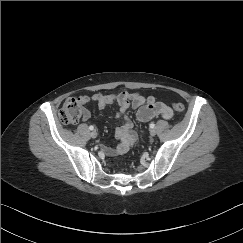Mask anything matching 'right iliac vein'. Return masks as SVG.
Listing matches in <instances>:
<instances>
[{
  "mask_svg": "<svg viewBox=\"0 0 243 243\" xmlns=\"http://www.w3.org/2000/svg\"><path fill=\"white\" fill-rule=\"evenodd\" d=\"M90 136H91L92 138H96V137H97V132H96V131H92V132L90 133Z\"/></svg>",
  "mask_w": 243,
  "mask_h": 243,
  "instance_id": "63e3f726",
  "label": "right iliac vein"
}]
</instances>
